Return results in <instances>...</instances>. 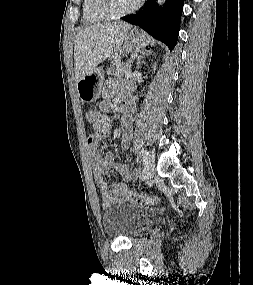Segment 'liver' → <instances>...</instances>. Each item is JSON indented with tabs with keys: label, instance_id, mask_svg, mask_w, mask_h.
<instances>
[{
	"label": "liver",
	"instance_id": "1",
	"mask_svg": "<svg viewBox=\"0 0 253 285\" xmlns=\"http://www.w3.org/2000/svg\"><path fill=\"white\" fill-rule=\"evenodd\" d=\"M131 27L123 22L104 23L86 27L77 33L74 47L76 83L120 50Z\"/></svg>",
	"mask_w": 253,
	"mask_h": 285
}]
</instances>
